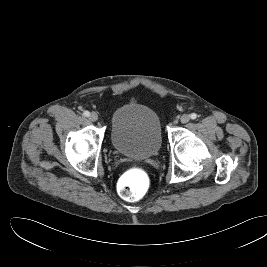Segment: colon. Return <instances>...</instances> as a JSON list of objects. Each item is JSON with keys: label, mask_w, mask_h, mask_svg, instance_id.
Listing matches in <instances>:
<instances>
[{"label": "colon", "mask_w": 267, "mask_h": 267, "mask_svg": "<svg viewBox=\"0 0 267 267\" xmlns=\"http://www.w3.org/2000/svg\"><path fill=\"white\" fill-rule=\"evenodd\" d=\"M149 187V177L141 167L129 169L119 180V195L128 201L142 198Z\"/></svg>", "instance_id": "1"}]
</instances>
